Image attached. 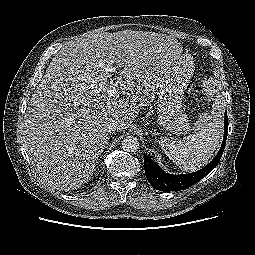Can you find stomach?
<instances>
[{"mask_svg":"<svg viewBox=\"0 0 255 255\" xmlns=\"http://www.w3.org/2000/svg\"><path fill=\"white\" fill-rule=\"evenodd\" d=\"M194 70L191 56L182 54L160 81L157 120L161 127L171 133L186 134L190 129L181 98Z\"/></svg>","mask_w":255,"mask_h":255,"instance_id":"1","label":"stomach"}]
</instances>
